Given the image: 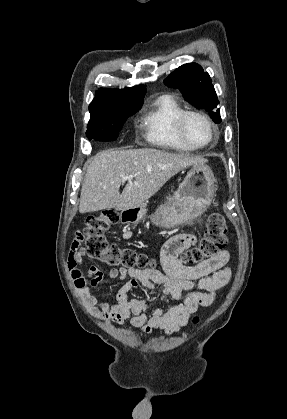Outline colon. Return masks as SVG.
<instances>
[{"label": "colon", "mask_w": 287, "mask_h": 419, "mask_svg": "<svg viewBox=\"0 0 287 419\" xmlns=\"http://www.w3.org/2000/svg\"><path fill=\"white\" fill-rule=\"evenodd\" d=\"M118 218V213L112 209L88 217L86 228L77 234V239L85 245L88 256L110 266L153 269V264L146 255L107 240L106 234L118 222ZM227 242V225L224 217L219 213H212L207 219L204 236L199 245L185 252L181 259L186 264L199 265L222 252ZM198 322L199 317L195 316L193 323Z\"/></svg>", "instance_id": "colon-1"}]
</instances>
